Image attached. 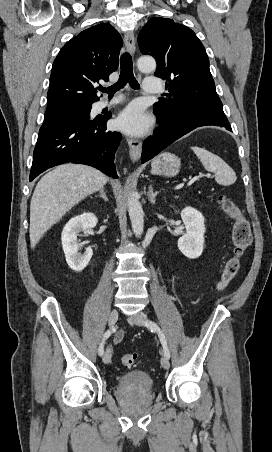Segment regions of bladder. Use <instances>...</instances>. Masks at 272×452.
I'll use <instances>...</instances> for the list:
<instances>
[{
	"mask_svg": "<svg viewBox=\"0 0 272 452\" xmlns=\"http://www.w3.org/2000/svg\"><path fill=\"white\" fill-rule=\"evenodd\" d=\"M117 384L122 389L151 391L154 386V380L147 372L132 370L121 375L118 378Z\"/></svg>",
	"mask_w": 272,
	"mask_h": 452,
	"instance_id": "1",
	"label": "bladder"
}]
</instances>
